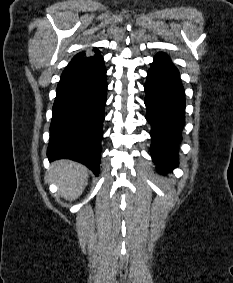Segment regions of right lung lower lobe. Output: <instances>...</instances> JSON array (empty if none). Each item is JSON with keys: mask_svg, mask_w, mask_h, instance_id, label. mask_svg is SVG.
<instances>
[{"mask_svg": "<svg viewBox=\"0 0 233 283\" xmlns=\"http://www.w3.org/2000/svg\"><path fill=\"white\" fill-rule=\"evenodd\" d=\"M103 57L72 59L61 75L53 105L49 160L67 158L99 174L106 104Z\"/></svg>", "mask_w": 233, "mask_h": 283, "instance_id": "right-lung-lower-lobe-1", "label": "right lung lower lobe"}]
</instances>
